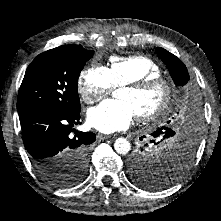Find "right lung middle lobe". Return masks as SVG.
<instances>
[{
    "mask_svg": "<svg viewBox=\"0 0 221 221\" xmlns=\"http://www.w3.org/2000/svg\"><path fill=\"white\" fill-rule=\"evenodd\" d=\"M93 54L77 45H62L38 55L27 68L19 89L18 113L38 107L79 111L78 77ZM90 148L84 146L66 153L61 163L39 175L60 188L77 184L85 176Z\"/></svg>",
    "mask_w": 221,
    "mask_h": 221,
    "instance_id": "1",
    "label": "right lung middle lobe"
}]
</instances>
